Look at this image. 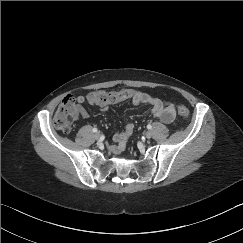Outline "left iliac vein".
I'll list each match as a JSON object with an SVG mask.
<instances>
[{"label": "left iliac vein", "instance_id": "1", "mask_svg": "<svg viewBox=\"0 0 243 243\" xmlns=\"http://www.w3.org/2000/svg\"><path fill=\"white\" fill-rule=\"evenodd\" d=\"M145 137L150 139L152 137V133L150 131L145 132Z\"/></svg>", "mask_w": 243, "mask_h": 243}]
</instances>
